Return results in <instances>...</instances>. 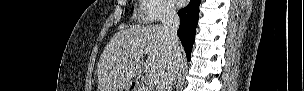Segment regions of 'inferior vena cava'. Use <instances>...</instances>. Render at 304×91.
<instances>
[{
	"label": "inferior vena cava",
	"instance_id": "602c4592",
	"mask_svg": "<svg viewBox=\"0 0 304 91\" xmlns=\"http://www.w3.org/2000/svg\"><path fill=\"white\" fill-rule=\"evenodd\" d=\"M180 25V18L176 12V9L172 5H168L163 10L162 26L165 33L169 62L166 68L161 73V76L157 82V91H171L173 82L177 77L180 65V41L177 36V30Z\"/></svg>",
	"mask_w": 304,
	"mask_h": 91
}]
</instances>
